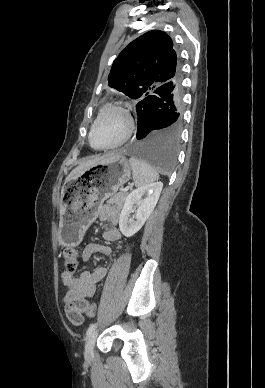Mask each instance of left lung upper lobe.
Returning a JSON list of instances; mask_svg holds the SVG:
<instances>
[{"instance_id": "5c2ea615", "label": "left lung upper lobe", "mask_w": 265, "mask_h": 388, "mask_svg": "<svg viewBox=\"0 0 265 388\" xmlns=\"http://www.w3.org/2000/svg\"><path fill=\"white\" fill-rule=\"evenodd\" d=\"M181 78L171 38L152 30L132 41L114 60L108 85L133 99L147 100L161 85Z\"/></svg>"}]
</instances>
